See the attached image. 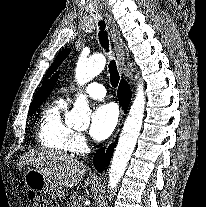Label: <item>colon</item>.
<instances>
[{
  "mask_svg": "<svg viewBox=\"0 0 206 207\" xmlns=\"http://www.w3.org/2000/svg\"><path fill=\"white\" fill-rule=\"evenodd\" d=\"M30 198L33 202L34 207H48V203L43 197L35 193H31Z\"/></svg>",
  "mask_w": 206,
  "mask_h": 207,
  "instance_id": "obj_1",
  "label": "colon"
}]
</instances>
